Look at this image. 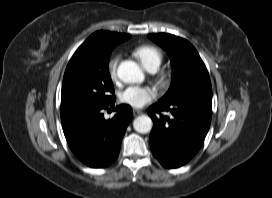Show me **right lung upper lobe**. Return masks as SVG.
<instances>
[{
	"label": "right lung upper lobe",
	"mask_w": 272,
	"mask_h": 198,
	"mask_svg": "<svg viewBox=\"0 0 272 198\" xmlns=\"http://www.w3.org/2000/svg\"><path fill=\"white\" fill-rule=\"evenodd\" d=\"M131 35L109 31H97L93 33L74 53L70 59L64 76L77 69L81 63L88 57H91L99 50L111 45H117L127 39Z\"/></svg>",
	"instance_id": "obj_1"
}]
</instances>
